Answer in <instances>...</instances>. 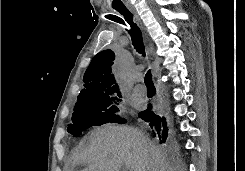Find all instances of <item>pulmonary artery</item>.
<instances>
[{
    "label": "pulmonary artery",
    "mask_w": 245,
    "mask_h": 171,
    "mask_svg": "<svg viewBox=\"0 0 245 171\" xmlns=\"http://www.w3.org/2000/svg\"><path fill=\"white\" fill-rule=\"evenodd\" d=\"M146 88L143 85H137L134 87L133 92L136 95L143 96L146 94Z\"/></svg>",
    "instance_id": "1"
}]
</instances>
